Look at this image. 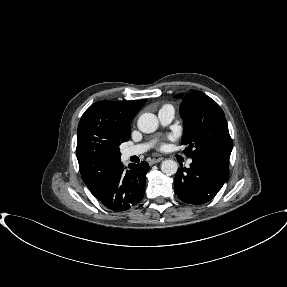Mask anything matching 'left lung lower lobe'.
Returning a JSON list of instances; mask_svg holds the SVG:
<instances>
[{"mask_svg":"<svg viewBox=\"0 0 287 287\" xmlns=\"http://www.w3.org/2000/svg\"><path fill=\"white\" fill-rule=\"evenodd\" d=\"M228 176V159L217 156L195 157L189 168L178 169L174 190L183 202L203 204L219 192Z\"/></svg>","mask_w":287,"mask_h":287,"instance_id":"left-lung-lower-lobe-1","label":"left lung lower lobe"}]
</instances>
